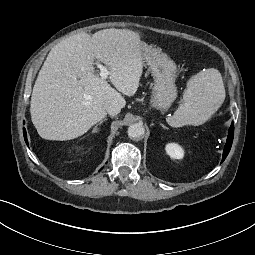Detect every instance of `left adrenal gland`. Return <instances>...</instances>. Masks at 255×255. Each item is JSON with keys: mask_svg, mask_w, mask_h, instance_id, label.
I'll use <instances>...</instances> for the list:
<instances>
[{"mask_svg": "<svg viewBox=\"0 0 255 255\" xmlns=\"http://www.w3.org/2000/svg\"><path fill=\"white\" fill-rule=\"evenodd\" d=\"M160 125H161L164 129H168L164 124L160 123Z\"/></svg>", "mask_w": 255, "mask_h": 255, "instance_id": "1", "label": "left adrenal gland"}]
</instances>
